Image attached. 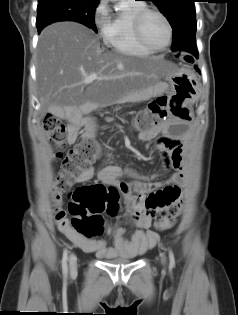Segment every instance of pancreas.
<instances>
[{
	"label": "pancreas",
	"instance_id": "obj_1",
	"mask_svg": "<svg viewBox=\"0 0 238 315\" xmlns=\"http://www.w3.org/2000/svg\"><path fill=\"white\" fill-rule=\"evenodd\" d=\"M140 98H141V94L138 93V92L131 93V96L127 97L128 100H131V99H140Z\"/></svg>",
	"mask_w": 238,
	"mask_h": 315
}]
</instances>
